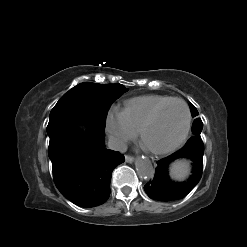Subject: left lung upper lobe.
<instances>
[{
    "mask_svg": "<svg viewBox=\"0 0 247 247\" xmlns=\"http://www.w3.org/2000/svg\"><path fill=\"white\" fill-rule=\"evenodd\" d=\"M189 106L191 109L192 116L196 117V119L194 120L193 125H192V131L194 133V136L200 137V133H201L202 128H203L202 120L197 117V115L199 113H198L197 109L195 108V106L192 103H190Z\"/></svg>",
    "mask_w": 247,
    "mask_h": 247,
    "instance_id": "left-lung-upper-lobe-1",
    "label": "left lung upper lobe"
}]
</instances>
